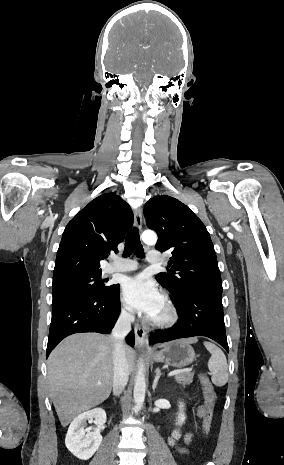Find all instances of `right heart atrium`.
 Segmentation results:
<instances>
[{
    "label": "right heart atrium",
    "instance_id": "right-heart-atrium-1",
    "mask_svg": "<svg viewBox=\"0 0 284 465\" xmlns=\"http://www.w3.org/2000/svg\"><path fill=\"white\" fill-rule=\"evenodd\" d=\"M119 318L125 322H130L133 319L132 313L126 308L121 306L118 310Z\"/></svg>",
    "mask_w": 284,
    "mask_h": 465
}]
</instances>
